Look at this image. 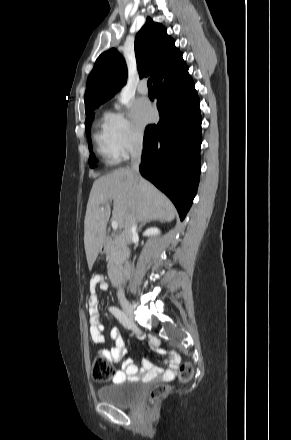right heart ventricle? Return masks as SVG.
I'll use <instances>...</instances> for the list:
<instances>
[{
	"mask_svg": "<svg viewBox=\"0 0 291 440\" xmlns=\"http://www.w3.org/2000/svg\"><path fill=\"white\" fill-rule=\"evenodd\" d=\"M93 138L96 146V153L101 160L107 165L115 164L119 157L115 154L109 141L106 132L105 119L99 120L96 123Z\"/></svg>",
	"mask_w": 291,
	"mask_h": 440,
	"instance_id": "right-heart-ventricle-1",
	"label": "right heart ventricle"
}]
</instances>
